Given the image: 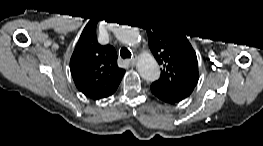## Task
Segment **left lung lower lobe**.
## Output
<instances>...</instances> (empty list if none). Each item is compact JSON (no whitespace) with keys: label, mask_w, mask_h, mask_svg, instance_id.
I'll use <instances>...</instances> for the list:
<instances>
[{"label":"left lung lower lobe","mask_w":263,"mask_h":146,"mask_svg":"<svg viewBox=\"0 0 263 146\" xmlns=\"http://www.w3.org/2000/svg\"><path fill=\"white\" fill-rule=\"evenodd\" d=\"M151 91L152 93L159 99H161L164 102L174 104L181 100H178L174 96H172L170 93H168L162 86H160L157 83H152L151 85Z\"/></svg>","instance_id":"1"}]
</instances>
